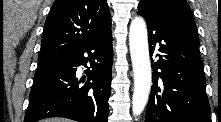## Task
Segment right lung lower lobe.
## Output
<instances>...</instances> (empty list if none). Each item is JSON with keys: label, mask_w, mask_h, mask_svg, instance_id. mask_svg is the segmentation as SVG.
Listing matches in <instances>:
<instances>
[{"label": "right lung lower lobe", "mask_w": 221, "mask_h": 122, "mask_svg": "<svg viewBox=\"0 0 221 122\" xmlns=\"http://www.w3.org/2000/svg\"><path fill=\"white\" fill-rule=\"evenodd\" d=\"M88 53V57L84 55ZM111 31L85 46L38 66L24 122L66 117L79 122H107L112 77ZM88 81L76 78L87 67ZM92 81V82H91Z\"/></svg>", "instance_id": "98d812e1"}]
</instances>
